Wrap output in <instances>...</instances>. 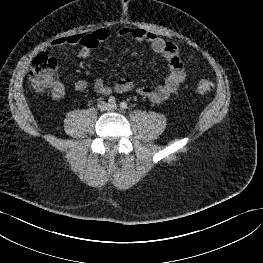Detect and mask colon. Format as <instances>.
<instances>
[{"mask_svg": "<svg viewBox=\"0 0 263 263\" xmlns=\"http://www.w3.org/2000/svg\"><path fill=\"white\" fill-rule=\"evenodd\" d=\"M57 74V62L44 53L37 55L29 72V84L37 92L44 91L53 86ZM214 89V82L203 77L197 83V91L200 94H208Z\"/></svg>", "mask_w": 263, "mask_h": 263, "instance_id": "colon-1", "label": "colon"}]
</instances>
